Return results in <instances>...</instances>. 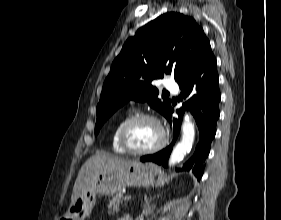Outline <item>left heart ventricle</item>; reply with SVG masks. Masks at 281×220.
I'll list each match as a JSON object with an SVG mask.
<instances>
[{
	"label": "left heart ventricle",
	"instance_id": "1",
	"mask_svg": "<svg viewBox=\"0 0 281 220\" xmlns=\"http://www.w3.org/2000/svg\"><path fill=\"white\" fill-rule=\"evenodd\" d=\"M159 126L149 120H143L135 124L129 131V141L137 149H148L161 141Z\"/></svg>",
	"mask_w": 281,
	"mask_h": 220
}]
</instances>
